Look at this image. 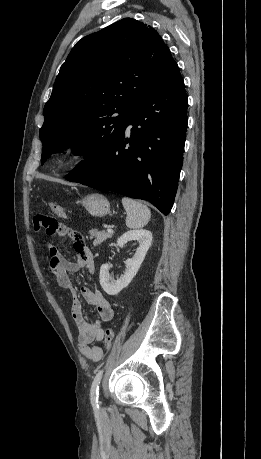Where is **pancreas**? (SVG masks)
Here are the masks:
<instances>
[{
	"label": "pancreas",
	"instance_id": "pancreas-1",
	"mask_svg": "<svg viewBox=\"0 0 261 459\" xmlns=\"http://www.w3.org/2000/svg\"><path fill=\"white\" fill-rule=\"evenodd\" d=\"M90 238L94 239L93 244L99 245L108 238H111L113 233H108L105 231H98L97 229H91L89 231Z\"/></svg>",
	"mask_w": 261,
	"mask_h": 459
}]
</instances>
